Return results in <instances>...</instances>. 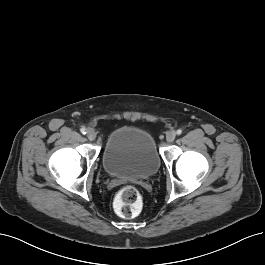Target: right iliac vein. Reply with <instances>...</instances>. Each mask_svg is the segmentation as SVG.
<instances>
[{
    "label": "right iliac vein",
    "mask_w": 265,
    "mask_h": 265,
    "mask_svg": "<svg viewBox=\"0 0 265 265\" xmlns=\"http://www.w3.org/2000/svg\"><path fill=\"white\" fill-rule=\"evenodd\" d=\"M87 137L90 141H93L96 138V133L93 129L89 128L87 131Z\"/></svg>",
    "instance_id": "1"
}]
</instances>
